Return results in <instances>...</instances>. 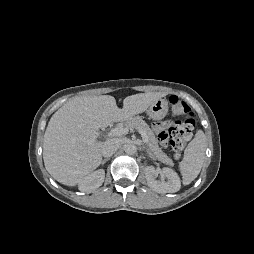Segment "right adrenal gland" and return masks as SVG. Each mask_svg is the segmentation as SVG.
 <instances>
[{"label":"right adrenal gland","mask_w":254,"mask_h":254,"mask_svg":"<svg viewBox=\"0 0 254 254\" xmlns=\"http://www.w3.org/2000/svg\"><path fill=\"white\" fill-rule=\"evenodd\" d=\"M108 161V159H104L101 164L103 165L104 163H106Z\"/></svg>","instance_id":"1"}]
</instances>
